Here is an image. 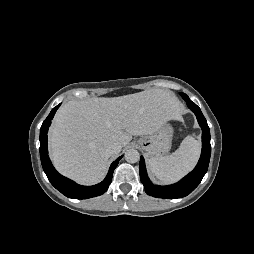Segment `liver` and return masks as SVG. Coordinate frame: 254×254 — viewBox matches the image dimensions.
I'll return each mask as SVG.
<instances>
[{"label": "liver", "mask_w": 254, "mask_h": 254, "mask_svg": "<svg viewBox=\"0 0 254 254\" xmlns=\"http://www.w3.org/2000/svg\"><path fill=\"white\" fill-rule=\"evenodd\" d=\"M180 115V102L163 89L68 101L59 108L50 128L53 164L80 184H96L106 174L110 144L122 148L132 136L151 135Z\"/></svg>", "instance_id": "1"}]
</instances>
